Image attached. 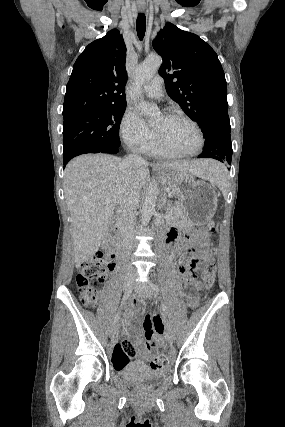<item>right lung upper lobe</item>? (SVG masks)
<instances>
[{
	"label": "right lung upper lobe",
	"instance_id": "right-lung-upper-lobe-1",
	"mask_svg": "<svg viewBox=\"0 0 285 427\" xmlns=\"http://www.w3.org/2000/svg\"><path fill=\"white\" fill-rule=\"evenodd\" d=\"M126 46L116 29L90 43L77 58L67 84L63 117L126 106Z\"/></svg>",
	"mask_w": 285,
	"mask_h": 427
}]
</instances>
